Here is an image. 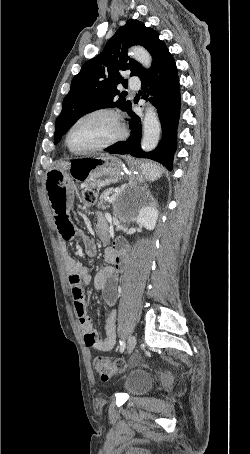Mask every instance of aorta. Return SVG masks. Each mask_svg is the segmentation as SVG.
I'll use <instances>...</instances> for the list:
<instances>
[{"mask_svg":"<svg viewBox=\"0 0 250 454\" xmlns=\"http://www.w3.org/2000/svg\"><path fill=\"white\" fill-rule=\"evenodd\" d=\"M130 55L145 68L151 66L152 58L148 51L140 46L131 48ZM161 126L155 108L149 104L143 121V138L141 147L144 151H152L159 142Z\"/></svg>","mask_w":250,"mask_h":454,"instance_id":"aorta-1","label":"aorta"}]
</instances>
